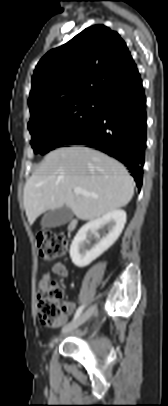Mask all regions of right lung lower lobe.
I'll return each instance as SVG.
<instances>
[{
	"mask_svg": "<svg viewBox=\"0 0 168 406\" xmlns=\"http://www.w3.org/2000/svg\"><path fill=\"white\" fill-rule=\"evenodd\" d=\"M93 123L65 145H86L125 164L138 189L142 185L146 148V98L138 74L98 98Z\"/></svg>",
	"mask_w": 168,
	"mask_h": 406,
	"instance_id": "98d812e1",
	"label": "right lung lower lobe"
}]
</instances>
